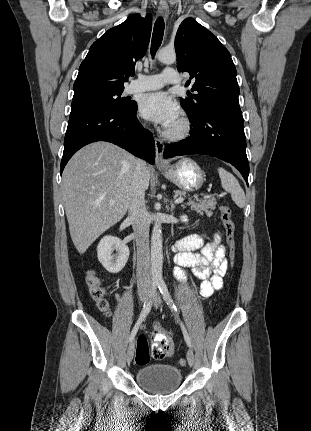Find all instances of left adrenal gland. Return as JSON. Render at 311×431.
<instances>
[{"label":"left adrenal gland","instance_id":"obj_1","mask_svg":"<svg viewBox=\"0 0 311 431\" xmlns=\"http://www.w3.org/2000/svg\"><path fill=\"white\" fill-rule=\"evenodd\" d=\"M174 208H175V206H174L173 202H171V208H170L171 212H173Z\"/></svg>","mask_w":311,"mask_h":431}]
</instances>
